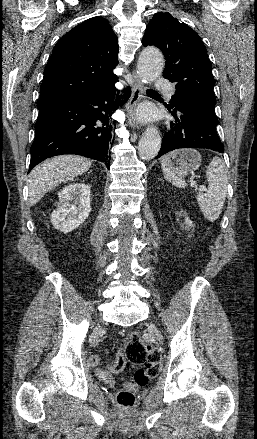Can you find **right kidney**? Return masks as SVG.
Masks as SVG:
<instances>
[{
    "label": "right kidney",
    "instance_id": "right-kidney-1",
    "mask_svg": "<svg viewBox=\"0 0 257 439\" xmlns=\"http://www.w3.org/2000/svg\"><path fill=\"white\" fill-rule=\"evenodd\" d=\"M91 190L84 183H71L59 192L58 207L51 214L57 230L68 233L79 227L89 216Z\"/></svg>",
    "mask_w": 257,
    "mask_h": 439
}]
</instances>
